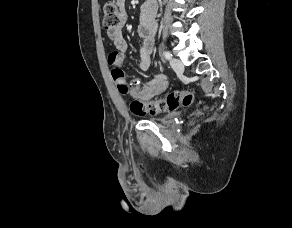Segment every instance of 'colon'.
I'll return each mask as SVG.
<instances>
[{"mask_svg": "<svg viewBox=\"0 0 292 228\" xmlns=\"http://www.w3.org/2000/svg\"><path fill=\"white\" fill-rule=\"evenodd\" d=\"M120 11L115 1H108L103 7V25L106 29H111L120 24ZM123 59L122 56L113 51L108 56V63L113 68V77L116 81L119 90L122 93H127L130 90L136 89V82L128 84L125 80L124 73L120 69ZM194 96L190 91H173L165 97L149 103H143L140 100H133L130 104L132 112L136 115H144L147 112H164L175 110L180 106H187L193 102Z\"/></svg>", "mask_w": 292, "mask_h": 228, "instance_id": "1", "label": "colon"}]
</instances>
